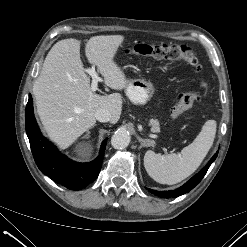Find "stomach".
<instances>
[{
    "instance_id": "1",
    "label": "stomach",
    "mask_w": 247,
    "mask_h": 247,
    "mask_svg": "<svg viewBox=\"0 0 247 247\" xmlns=\"http://www.w3.org/2000/svg\"><path fill=\"white\" fill-rule=\"evenodd\" d=\"M125 93L134 104H146L155 93V87L150 81L144 79L128 80Z\"/></svg>"
}]
</instances>
